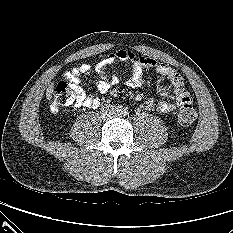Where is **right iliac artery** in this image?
<instances>
[{
  "label": "right iliac artery",
  "mask_w": 233,
  "mask_h": 233,
  "mask_svg": "<svg viewBox=\"0 0 233 233\" xmlns=\"http://www.w3.org/2000/svg\"><path fill=\"white\" fill-rule=\"evenodd\" d=\"M116 111H117V112L122 111V107H121V106H117V107H116Z\"/></svg>",
  "instance_id": "right-iliac-artery-1"
}]
</instances>
